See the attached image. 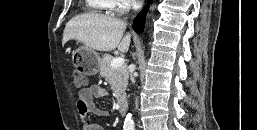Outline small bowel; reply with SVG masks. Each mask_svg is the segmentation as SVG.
Listing matches in <instances>:
<instances>
[{"label": "small bowel", "instance_id": "c3829d8e", "mask_svg": "<svg viewBox=\"0 0 257 130\" xmlns=\"http://www.w3.org/2000/svg\"><path fill=\"white\" fill-rule=\"evenodd\" d=\"M107 94V91L100 85H92L80 90L77 109L83 119V130H104L100 125L89 122L87 116L93 114L98 117H105L107 115L106 111L98 108L94 103L95 98H104Z\"/></svg>", "mask_w": 257, "mask_h": 130}]
</instances>
